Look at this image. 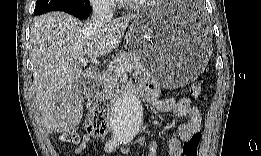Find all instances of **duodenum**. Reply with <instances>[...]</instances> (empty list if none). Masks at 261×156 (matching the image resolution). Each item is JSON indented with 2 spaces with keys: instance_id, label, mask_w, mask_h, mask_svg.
<instances>
[{
  "instance_id": "410a0bca",
  "label": "duodenum",
  "mask_w": 261,
  "mask_h": 156,
  "mask_svg": "<svg viewBox=\"0 0 261 156\" xmlns=\"http://www.w3.org/2000/svg\"><path fill=\"white\" fill-rule=\"evenodd\" d=\"M89 73H90V75L91 76H93V77H96L98 74H99V72L96 70V69H94V68H91V69H89ZM126 91H127V93L130 95V96H136L137 94H139L136 90H135V88L132 86V85H130V86H128L127 88H126ZM115 99H116V97L115 96H110V97H107V98H105L104 100H103V102L101 103L103 106H110V105H113V103L115 102Z\"/></svg>"
}]
</instances>
